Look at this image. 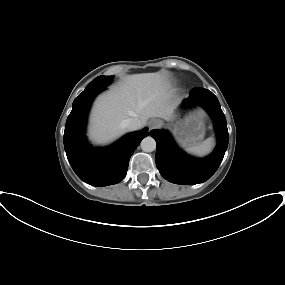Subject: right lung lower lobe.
<instances>
[{"instance_id": "obj_1", "label": "right lung lower lobe", "mask_w": 285, "mask_h": 285, "mask_svg": "<svg viewBox=\"0 0 285 285\" xmlns=\"http://www.w3.org/2000/svg\"><path fill=\"white\" fill-rule=\"evenodd\" d=\"M106 87L81 93L73 102L64 131V148L77 176L87 184L103 187L119 183L126 175L129 160L148 130L130 133L107 148H93L84 130L95 96Z\"/></svg>"}]
</instances>
